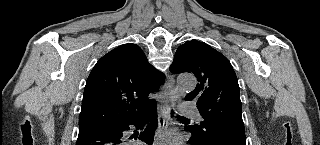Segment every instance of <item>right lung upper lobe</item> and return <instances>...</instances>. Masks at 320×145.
<instances>
[{
	"label": "right lung upper lobe",
	"instance_id": "right-lung-upper-lobe-1",
	"mask_svg": "<svg viewBox=\"0 0 320 145\" xmlns=\"http://www.w3.org/2000/svg\"><path fill=\"white\" fill-rule=\"evenodd\" d=\"M165 75L132 43L104 55L92 69L84 90L79 129L130 122L156 105L148 99Z\"/></svg>",
	"mask_w": 320,
	"mask_h": 145
}]
</instances>
